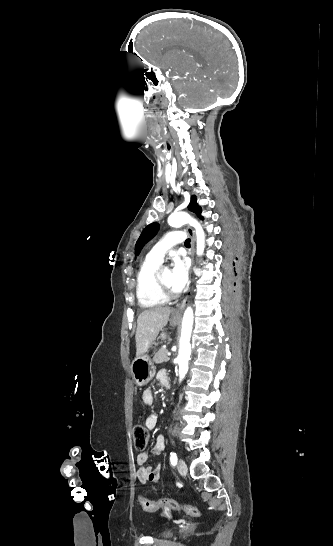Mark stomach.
I'll list each match as a JSON object with an SVG mask.
<instances>
[{
  "instance_id": "stomach-1",
  "label": "stomach",
  "mask_w": 333,
  "mask_h": 546,
  "mask_svg": "<svg viewBox=\"0 0 333 546\" xmlns=\"http://www.w3.org/2000/svg\"><path fill=\"white\" fill-rule=\"evenodd\" d=\"M176 319L171 320V325H176ZM166 332L162 331L159 339H167ZM156 344V343H155ZM131 373L133 380L138 386L149 383L155 375V365L147 355L136 356L131 364Z\"/></svg>"
}]
</instances>
